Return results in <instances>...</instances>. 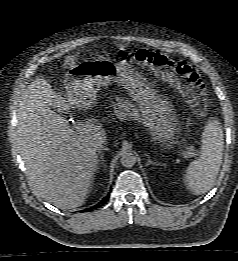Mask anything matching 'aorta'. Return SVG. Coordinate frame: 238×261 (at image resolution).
Masks as SVG:
<instances>
[{"label":"aorta","instance_id":"aorta-1","mask_svg":"<svg viewBox=\"0 0 238 261\" xmlns=\"http://www.w3.org/2000/svg\"><path fill=\"white\" fill-rule=\"evenodd\" d=\"M121 164L126 168H131L136 163V156L131 152H124L120 158Z\"/></svg>","mask_w":238,"mask_h":261}]
</instances>
